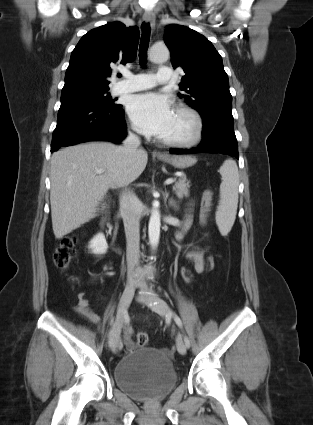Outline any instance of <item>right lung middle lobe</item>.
<instances>
[{"label":"right lung middle lobe","instance_id":"dd1d6c3e","mask_svg":"<svg viewBox=\"0 0 313 425\" xmlns=\"http://www.w3.org/2000/svg\"><path fill=\"white\" fill-rule=\"evenodd\" d=\"M109 88L105 89H83L70 92L68 94L83 96L99 102L109 107H115L117 104L111 100L110 94L108 93Z\"/></svg>","mask_w":313,"mask_h":425}]
</instances>
